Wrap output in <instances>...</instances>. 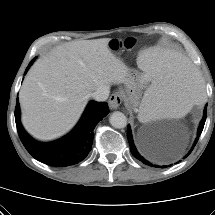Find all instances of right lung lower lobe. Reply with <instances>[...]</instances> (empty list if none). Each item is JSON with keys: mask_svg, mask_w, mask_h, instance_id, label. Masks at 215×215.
I'll use <instances>...</instances> for the list:
<instances>
[{"mask_svg": "<svg viewBox=\"0 0 215 215\" xmlns=\"http://www.w3.org/2000/svg\"><path fill=\"white\" fill-rule=\"evenodd\" d=\"M27 67V72L30 65ZM109 113L106 102L91 101L87 105L76 127L66 136L53 142L34 140L20 122V107L17 98L15 121L19 137L27 151L40 162L53 167H66L81 162L89 154L95 126Z\"/></svg>", "mask_w": 215, "mask_h": 215, "instance_id": "right-lung-lower-lobe-1", "label": "right lung lower lobe"}]
</instances>
